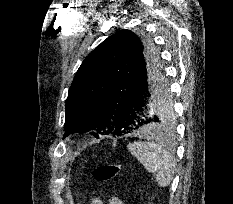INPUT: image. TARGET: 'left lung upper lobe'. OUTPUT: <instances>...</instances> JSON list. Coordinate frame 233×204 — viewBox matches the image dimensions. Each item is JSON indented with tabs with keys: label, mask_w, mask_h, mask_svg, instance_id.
I'll use <instances>...</instances> for the list:
<instances>
[{
	"label": "left lung upper lobe",
	"mask_w": 233,
	"mask_h": 204,
	"mask_svg": "<svg viewBox=\"0 0 233 204\" xmlns=\"http://www.w3.org/2000/svg\"><path fill=\"white\" fill-rule=\"evenodd\" d=\"M153 57L159 58L151 40L129 30L116 32L96 47L82 62L69 88L64 137L73 133L96 138L122 135L125 131L116 122L119 103L140 60ZM154 115L158 131L173 129L175 112L169 86L158 99Z\"/></svg>",
	"instance_id": "obj_1"
}]
</instances>
